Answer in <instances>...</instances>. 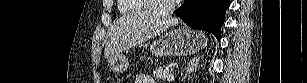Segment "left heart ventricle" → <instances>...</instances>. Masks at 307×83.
<instances>
[{
    "mask_svg": "<svg viewBox=\"0 0 307 83\" xmlns=\"http://www.w3.org/2000/svg\"><path fill=\"white\" fill-rule=\"evenodd\" d=\"M172 2V0H158L156 1V4L158 7H164L166 6L168 3Z\"/></svg>",
    "mask_w": 307,
    "mask_h": 83,
    "instance_id": "obj_1",
    "label": "left heart ventricle"
}]
</instances>
